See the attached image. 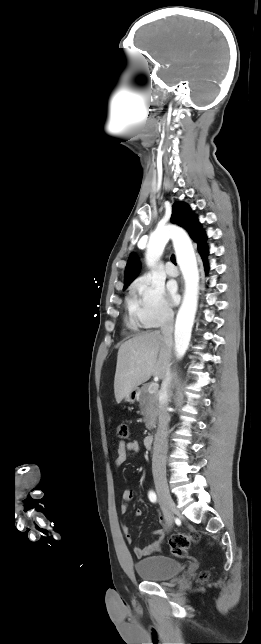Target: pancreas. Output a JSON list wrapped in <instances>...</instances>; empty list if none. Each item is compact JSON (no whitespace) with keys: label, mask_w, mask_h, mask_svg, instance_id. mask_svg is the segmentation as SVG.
<instances>
[{"label":"pancreas","mask_w":261,"mask_h":644,"mask_svg":"<svg viewBox=\"0 0 261 644\" xmlns=\"http://www.w3.org/2000/svg\"><path fill=\"white\" fill-rule=\"evenodd\" d=\"M140 410L144 416V422L147 429L155 427L157 414H158V393H149L148 386L145 385L141 388L140 394Z\"/></svg>","instance_id":"1"}]
</instances>
